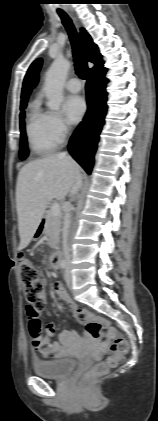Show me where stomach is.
<instances>
[{"mask_svg": "<svg viewBox=\"0 0 158 421\" xmlns=\"http://www.w3.org/2000/svg\"><path fill=\"white\" fill-rule=\"evenodd\" d=\"M42 230H43V225L40 222V224H39V226H38V228H37V230L34 234V237H38L41 234Z\"/></svg>", "mask_w": 158, "mask_h": 421, "instance_id": "obj_1", "label": "stomach"}]
</instances>
